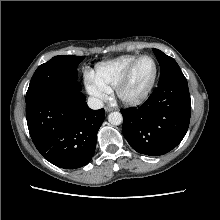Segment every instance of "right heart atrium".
Segmentation results:
<instances>
[{"instance_id": "1", "label": "right heart atrium", "mask_w": 220, "mask_h": 220, "mask_svg": "<svg viewBox=\"0 0 220 220\" xmlns=\"http://www.w3.org/2000/svg\"><path fill=\"white\" fill-rule=\"evenodd\" d=\"M85 84L88 93L97 101L102 102L107 99L110 90L101 84L94 75L86 72Z\"/></svg>"}]
</instances>
